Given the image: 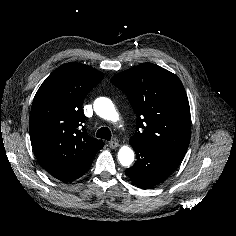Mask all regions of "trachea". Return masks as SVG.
Wrapping results in <instances>:
<instances>
[{"mask_svg": "<svg viewBox=\"0 0 236 236\" xmlns=\"http://www.w3.org/2000/svg\"><path fill=\"white\" fill-rule=\"evenodd\" d=\"M96 136L101 139H105L109 141L112 137L111 131L107 127H101L98 131Z\"/></svg>", "mask_w": 236, "mask_h": 236, "instance_id": "1", "label": "trachea"}]
</instances>
